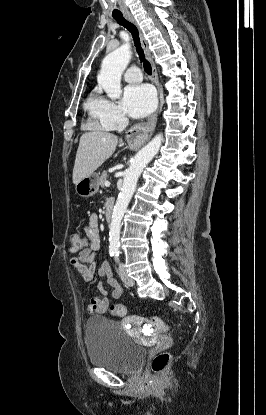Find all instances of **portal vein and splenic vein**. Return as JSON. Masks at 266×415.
<instances>
[{
    "mask_svg": "<svg viewBox=\"0 0 266 415\" xmlns=\"http://www.w3.org/2000/svg\"><path fill=\"white\" fill-rule=\"evenodd\" d=\"M104 185H105L106 187H109V186H110V182H109V181H105Z\"/></svg>",
    "mask_w": 266,
    "mask_h": 415,
    "instance_id": "18ae733b",
    "label": "portal vein and splenic vein"
}]
</instances>
